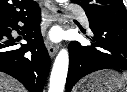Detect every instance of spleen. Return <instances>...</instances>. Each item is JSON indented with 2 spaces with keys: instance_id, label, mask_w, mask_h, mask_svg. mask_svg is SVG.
Returning <instances> with one entry per match:
<instances>
[{
  "instance_id": "spleen-1",
  "label": "spleen",
  "mask_w": 127,
  "mask_h": 92,
  "mask_svg": "<svg viewBox=\"0 0 127 92\" xmlns=\"http://www.w3.org/2000/svg\"><path fill=\"white\" fill-rule=\"evenodd\" d=\"M122 79H123L124 81H127V72L123 73ZM126 92H127V89H126Z\"/></svg>"
}]
</instances>
